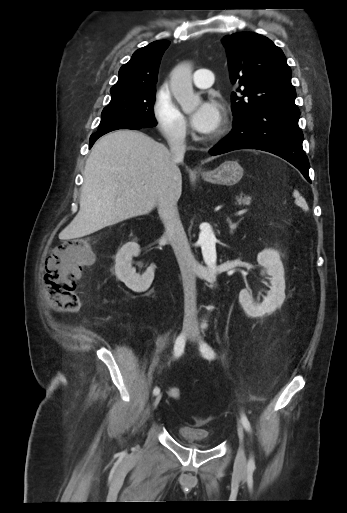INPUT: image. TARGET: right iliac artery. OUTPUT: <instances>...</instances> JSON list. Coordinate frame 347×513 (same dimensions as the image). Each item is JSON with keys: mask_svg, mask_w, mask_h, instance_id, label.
Segmentation results:
<instances>
[{"mask_svg": "<svg viewBox=\"0 0 347 513\" xmlns=\"http://www.w3.org/2000/svg\"><path fill=\"white\" fill-rule=\"evenodd\" d=\"M185 341H186L185 336L183 334L178 336V338L176 339L175 345H174V357L176 359L179 358L182 355V353L184 352ZM159 392H160V389L158 387H155L153 390V394L158 395Z\"/></svg>", "mask_w": 347, "mask_h": 513, "instance_id": "obj_1", "label": "right iliac artery"}]
</instances>
